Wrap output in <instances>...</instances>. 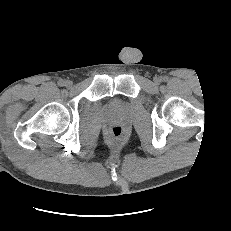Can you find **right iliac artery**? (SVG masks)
I'll return each mask as SVG.
<instances>
[{
  "mask_svg": "<svg viewBox=\"0 0 231 231\" xmlns=\"http://www.w3.org/2000/svg\"><path fill=\"white\" fill-rule=\"evenodd\" d=\"M58 85H59V86H64V85H65V81H64V80H60V81L58 82Z\"/></svg>",
  "mask_w": 231,
  "mask_h": 231,
  "instance_id": "obj_1",
  "label": "right iliac artery"
}]
</instances>
